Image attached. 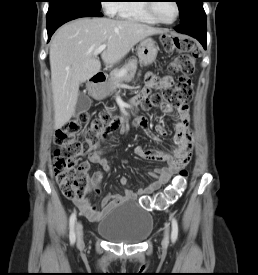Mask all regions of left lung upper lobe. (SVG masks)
<instances>
[{"instance_id": "1", "label": "left lung upper lobe", "mask_w": 258, "mask_h": 275, "mask_svg": "<svg viewBox=\"0 0 258 275\" xmlns=\"http://www.w3.org/2000/svg\"><path fill=\"white\" fill-rule=\"evenodd\" d=\"M193 1L194 0H176L179 7L180 18L184 17Z\"/></svg>"}]
</instances>
